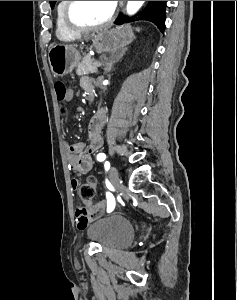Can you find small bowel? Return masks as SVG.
I'll return each mask as SVG.
<instances>
[{
    "label": "small bowel",
    "instance_id": "c3829d8e",
    "mask_svg": "<svg viewBox=\"0 0 237 300\" xmlns=\"http://www.w3.org/2000/svg\"><path fill=\"white\" fill-rule=\"evenodd\" d=\"M81 86L86 91H91L93 84L90 78L84 77L81 80ZM74 91L68 90V98L73 99ZM106 122V112L99 109L91 118L88 124V140L86 142H76L69 146L70 163L74 170L81 173H87L92 168L91 155L96 152L103 144L102 129ZM78 180L72 179L73 189L78 187ZM106 208V202L101 201L92 206V210L84 207H77L75 211L76 223L78 229L82 230L92 221V219Z\"/></svg>",
    "mask_w": 237,
    "mask_h": 300
}]
</instances>
